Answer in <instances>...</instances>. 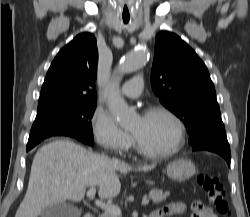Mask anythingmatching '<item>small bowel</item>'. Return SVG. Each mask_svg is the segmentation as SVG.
I'll list each match as a JSON object with an SVG mask.
<instances>
[{
    "instance_id": "1",
    "label": "small bowel",
    "mask_w": 250,
    "mask_h": 217,
    "mask_svg": "<svg viewBox=\"0 0 250 217\" xmlns=\"http://www.w3.org/2000/svg\"><path fill=\"white\" fill-rule=\"evenodd\" d=\"M187 207L185 203L181 201H175L167 204L159 212V217H169L173 215H180L186 211ZM193 217H218L208 207H206L201 201H196L191 206Z\"/></svg>"
}]
</instances>
